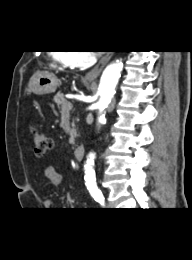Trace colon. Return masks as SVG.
<instances>
[{"mask_svg": "<svg viewBox=\"0 0 192 260\" xmlns=\"http://www.w3.org/2000/svg\"><path fill=\"white\" fill-rule=\"evenodd\" d=\"M31 135L35 154L39 157L43 156L51 146L49 137L37 127L32 128Z\"/></svg>", "mask_w": 192, "mask_h": 260, "instance_id": "colon-1", "label": "colon"}]
</instances>
